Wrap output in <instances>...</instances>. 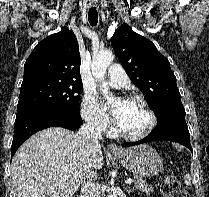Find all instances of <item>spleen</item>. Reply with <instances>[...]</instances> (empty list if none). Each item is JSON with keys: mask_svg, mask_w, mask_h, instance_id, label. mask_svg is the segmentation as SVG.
Segmentation results:
<instances>
[{"mask_svg": "<svg viewBox=\"0 0 209 197\" xmlns=\"http://www.w3.org/2000/svg\"><path fill=\"white\" fill-rule=\"evenodd\" d=\"M191 181H192V178H191L190 174L184 175V182L187 186H191Z\"/></svg>", "mask_w": 209, "mask_h": 197, "instance_id": "obj_1", "label": "spleen"}]
</instances>
